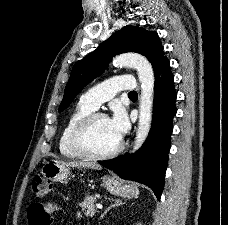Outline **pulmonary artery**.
Returning a JSON list of instances; mask_svg holds the SVG:
<instances>
[{"label":"pulmonary artery","mask_w":228,"mask_h":225,"mask_svg":"<svg viewBox=\"0 0 228 225\" xmlns=\"http://www.w3.org/2000/svg\"><path fill=\"white\" fill-rule=\"evenodd\" d=\"M133 80V75H119L111 80ZM137 81H102V85H94L91 89L80 97V102L93 110H97L100 105L110 99L112 94H118V90H136Z\"/></svg>","instance_id":"1"}]
</instances>
